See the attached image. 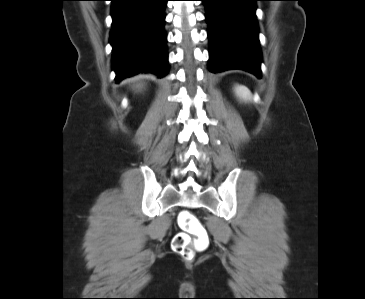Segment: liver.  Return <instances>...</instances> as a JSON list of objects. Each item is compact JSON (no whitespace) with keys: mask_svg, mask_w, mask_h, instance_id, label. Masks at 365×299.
I'll use <instances>...</instances> for the list:
<instances>
[{"mask_svg":"<svg viewBox=\"0 0 365 299\" xmlns=\"http://www.w3.org/2000/svg\"><path fill=\"white\" fill-rule=\"evenodd\" d=\"M134 88L135 89H141L142 88V85H136Z\"/></svg>","mask_w":365,"mask_h":299,"instance_id":"6515ba94","label":"liver"}]
</instances>
